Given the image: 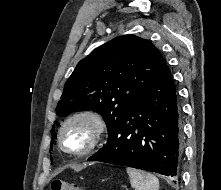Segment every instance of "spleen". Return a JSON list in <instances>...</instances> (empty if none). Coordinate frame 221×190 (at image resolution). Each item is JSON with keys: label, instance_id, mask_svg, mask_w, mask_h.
Listing matches in <instances>:
<instances>
[{"label": "spleen", "instance_id": "1", "mask_svg": "<svg viewBox=\"0 0 221 190\" xmlns=\"http://www.w3.org/2000/svg\"><path fill=\"white\" fill-rule=\"evenodd\" d=\"M130 184L135 190H158L159 180L151 173L140 171L131 167L126 169Z\"/></svg>", "mask_w": 221, "mask_h": 190}]
</instances>
